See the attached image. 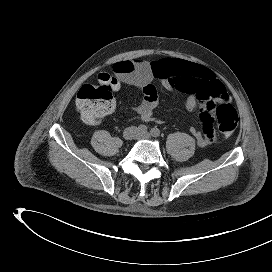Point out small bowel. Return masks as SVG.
Returning <instances> with one entry per match:
<instances>
[{"label":"small bowel","instance_id":"small-bowel-1","mask_svg":"<svg viewBox=\"0 0 272 272\" xmlns=\"http://www.w3.org/2000/svg\"><path fill=\"white\" fill-rule=\"evenodd\" d=\"M113 71L119 82L137 87L143 93L140 104L132 107H121V110L131 111L144 121L158 122L153 116L159 97L154 80H159L167 91H180L185 94L184 105L187 110L199 109L202 125L200 130L191 128V133L200 147L210 145L217 137V125L214 118L217 115L212 106L213 99L224 101L229 99L224 84L217 79L209 68L176 58H164L159 61L124 60L113 65ZM116 109L115 103L108 114Z\"/></svg>","mask_w":272,"mask_h":272}]
</instances>
